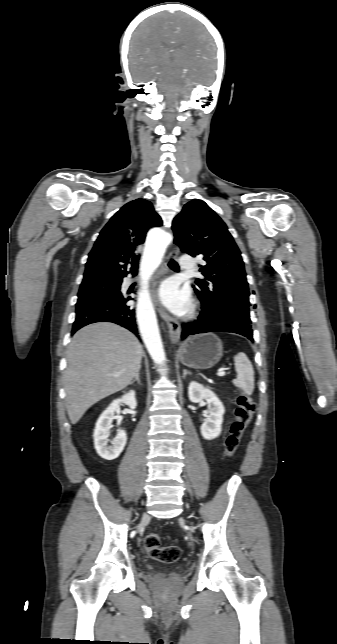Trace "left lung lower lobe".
Returning <instances> with one entry per match:
<instances>
[{"label":"left lung lower lobe","mask_w":337,"mask_h":644,"mask_svg":"<svg viewBox=\"0 0 337 644\" xmlns=\"http://www.w3.org/2000/svg\"><path fill=\"white\" fill-rule=\"evenodd\" d=\"M208 332H230L242 335L253 340V331L250 326L219 311H205L202 309L197 320L183 324L182 338L188 335Z\"/></svg>","instance_id":"0a47b994"}]
</instances>
